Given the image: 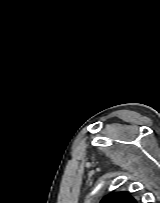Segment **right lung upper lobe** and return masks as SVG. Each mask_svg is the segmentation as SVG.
<instances>
[{"label": "right lung upper lobe", "mask_w": 160, "mask_h": 203, "mask_svg": "<svg viewBox=\"0 0 160 203\" xmlns=\"http://www.w3.org/2000/svg\"><path fill=\"white\" fill-rule=\"evenodd\" d=\"M100 203H137L127 192L113 193L104 197Z\"/></svg>", "instance_id": "1"}]
</instances>
